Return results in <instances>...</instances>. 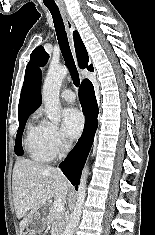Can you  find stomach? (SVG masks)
I'll use <instances>...</instances> for the list:
<instances>
[{"instance_id":"0dacf381","label":"stomach","mask_w":155,"mask_h":235,"mask_svg":"<svg viewBox=\"0 0 155 235\" xmlns=\"http://www.w3.org/2000/svg\"><path fill=\"white\" fill-rule=\"evenodd\" d=\"M46 226V219L40 213H35L26 227L27 235H36L40 233Z\"/></svg>"}]
</instances>
